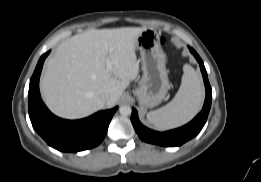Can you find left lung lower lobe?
Returning a JSON list of instances; mask_svg holds the SVG:
<instances>
[{
  "label": "left lung lower lobe",
  "instance_id": "obj_1",
  "mask_svg": "<svg viewBox=\"0 0 261 182\" xmlns=\"http://www.w3.org/2000/svg\"><path fill=\"white\" fill-rule=\"evenodd\" d=\"M189 49L198 61L204 79L206 98L203 109L190 123L186 124L183 127L167 132H156L148 129L140 123L137 111L133 108L131 122L138 136L145 142L165 147L180 146L181 144L195 137L206 123L211 107L212 90L208 81L207 72L204 67L203 61L194 49L190 47Z\"/></svg>",
  "mask_w": 261,
  "mask_h": 182
}]
</instances>
